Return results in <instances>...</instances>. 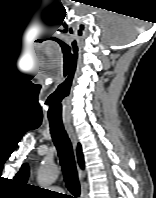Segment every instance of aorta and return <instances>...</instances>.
Masks as SVG:
<instances>
[{
    "label": "aorta",
    "mask_w": 156,
    "mask_h": 198,
    "mask_svg": "<svg viewBox=\"0 0 156 198\" xmlns=\"http://www.w3.org/2000/svg\"><path fill=\"white\" fill-rule=\"evenodd\" d=\"M58 175H59L58 167L51 162H45L41 165L38 171V176H37L38 184L43 187H48L57 180Z\"/></svg>",
    "instance_id": "obj_1"
}]
</instances>
